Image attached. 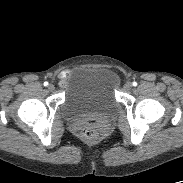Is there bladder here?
<instances>
[{"instance_id": "1", "label": "bladder", "mask_w": 183, "mask_h": 183, "mask_svg": "<svg viewBox=\"0 0 183 183\" xmlns=\"http://www.w3.org/2000/svg\"><path fill=\"white\" fill-rule=\"evenodd\" d=\"M114 80L103 68H85L78 72L66 89L62 104L63 113L69 119L91 114L111 115L116 112Z\"/></svg>"}]
</instances>
